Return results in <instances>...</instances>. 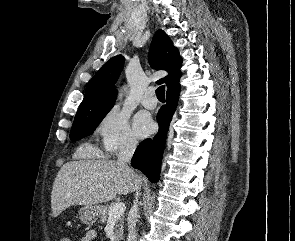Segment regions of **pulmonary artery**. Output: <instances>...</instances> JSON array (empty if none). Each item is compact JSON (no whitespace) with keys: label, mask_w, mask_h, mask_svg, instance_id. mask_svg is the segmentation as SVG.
I'll return each mask as SVG.
<instances>
[{"label":"pulmonary artery","mask_w":295,"mask_h":241,"mask_svg":"<svg viewBox=\"0 0 295 241\" xmlns=\"http://www.w3.org/2000/svg\"><path fill=\"white\" fill-rule=\"evenodd\" d=\"M141 104L147 109H154L156 107V100L154 98V90L148 89L141 99Z\"/></svg>","instance_id":"1"}]
</instances>
